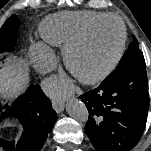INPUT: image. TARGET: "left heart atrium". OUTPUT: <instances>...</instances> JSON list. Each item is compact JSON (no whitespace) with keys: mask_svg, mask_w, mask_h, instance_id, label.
<instances>
[{"mask_svg":"<svg viewBox=\"0 0 151 151\" xmlns=\"http://www.w3.org/2000/svg\"><path fill=\"white\" fill-rule=\"evenodd\" d=\"M45 87L47 91L56 98L65 97L73 90L72 83L63 77H53L49 79Z\"/></svg>","mask_w":151,"mask_h":151,"instance_id":"1","label":"left heart atrium"}]
</instances>
